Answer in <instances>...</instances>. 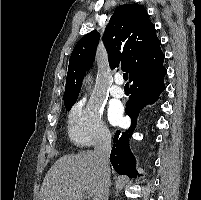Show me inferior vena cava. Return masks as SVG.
<instances>
[{"mask_svg": "<svg viewBox=\"0 0 201 200\" xmlns=\"http://www.w3.org/2000/svg\"><path fill=\"white\" fill-rule=\"evenodd\" d=\"M95 157L102 173V181L97 200H108L110 186L109 156L111 152V135L105 134L95 146Z\"/></svg>", "mask_w": 201, "mask_h": 200, "instance_id": "obj_1", "label": "inferior vena cava"}]
</instances>
